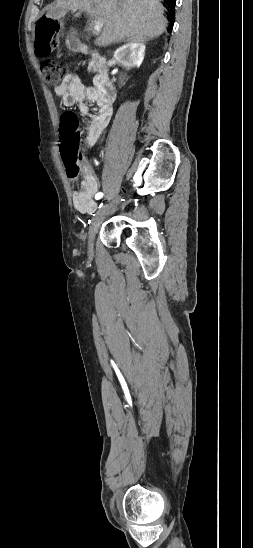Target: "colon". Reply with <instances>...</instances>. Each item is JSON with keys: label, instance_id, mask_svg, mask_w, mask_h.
Wrapping results in <instances>:
<instances>
[{"label": "colon", "instance_id": "5ec220e1", "mask_svg": "<svg viewBox=\"0 0 253 548\" xmlns=\"http://www.w3.org/2000/svg\"><path fill=\"white\" fill-rule=\"evenodd\" d=\"M58 44V25L51 19H42L36 26V48L41 53H47ZM47 83L51 87L62 84L67 67L61 62L46 60L41 65ZM80 134L77 118L74 113L66 112L62 117L61 155L67 164V173L76 176L79 173L77 160L79 157Z\"/></svg>", "mask_w": 253, "mask_h": 548}]
</instances>
